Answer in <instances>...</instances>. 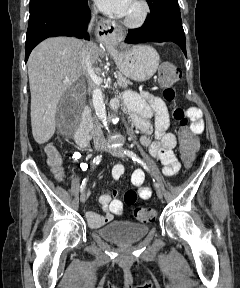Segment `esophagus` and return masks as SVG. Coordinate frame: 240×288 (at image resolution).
Segmentation results:
<instances>
[{
    "mask_svg": "<svg viewBox=\"0 0 240 288\" xmlns=\"http://www.w3.org/2000/svg\"><path fill=\"white\" fill-rule=\"evenodd\" d=\"M117 31V25L115 22L105 20L98 23L97 37L105 46H111L115 42V32Z\"/></svg>",
    "mask_w": 240,
    "mask_h": 288,
    "instance_id": "esophagus-1",
    "label": "esophagus"
}]
</instances>
